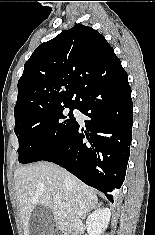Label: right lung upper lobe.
<instances>
[{
  "instance_id": "cb5924a9",
  "label": "right lung upper lobe",
  "mask_w": 155,
  "mask_h": 235,
  "mask_svg": "<svg viewBox=\"0 0 155 235\" xmlns=\"http://www.w3.org/2000/svg\"><path fill=\"white\" fill-rule=\"evenodd\" d=\"M120 71L121 61L104 36L76 24L38 46L25 63L14 116L76 104L87 89Z\"/></svg>"
}]
</instances>
